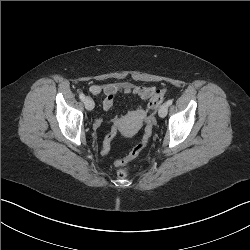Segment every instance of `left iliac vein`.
<instances>
[{"label": "left iliac vein", "mask_w": 250, "mask_h": 250, "mask_svg": "<svg viewBox=\"0 0 250 250\" xmlns=\"http://www.w3.org/2000/svg\"><path fill=\"white\" fill-rule=\"evenodd\" d=\"M168 112V106L167 104H163L160 106L158 114L161 118H164L167 115Z\"/></svg>", "instance_id": "4c4485c4"}]
</instances>
